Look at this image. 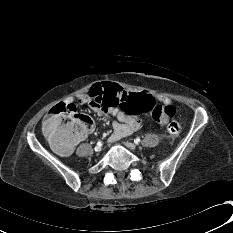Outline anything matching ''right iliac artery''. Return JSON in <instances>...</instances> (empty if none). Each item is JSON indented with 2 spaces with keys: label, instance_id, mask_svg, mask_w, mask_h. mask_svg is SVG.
I'll return each mask as SVG.
<instances>
[{
  "label": "right iliac artery",
  "instance_id": "obj_1",
  "mask_svg": "<svg viewBox=\"0 0 233 233\" xmlns=\"http://www.w3.org/2000/svg\"><path fill=\"white\" fill-rule=\"evenodd\" d=\"M101 145H102V143H101V142H98V143H97V146H101Z\"/></svg>",
  "mask_w": 233,
  "mask_h": 233
}]
</instances>
